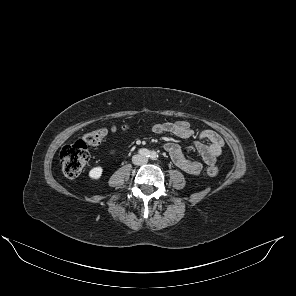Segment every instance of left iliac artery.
I'll return each instance as SVG.
<instances>
[{
    "instance_id": "obj_1",
    "label": "left iliac artery",
    "mask_w": 296,
    "mask_h": 296,
    "mask_svg": "<svg viewBox=\"0 0 296 296\" xmlns=\"http://www.w3.org/2000/svg\"><path fill=\"white\" fill-rule=\"evenodd\" d=\"M156 153L155 152H151V154H150V158H152V159H154V158H156Z\"/></svg>"
}]
</instances>
